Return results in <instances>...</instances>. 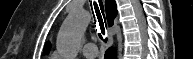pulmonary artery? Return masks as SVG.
Returning a JSON list of instances; mask_svg holds the SVG:
<instances>
[{"instance_id": "1", "label": "pulmonary artery", "mask_w": 193, "mask_h": 59, "mask_svg": "<svg viewBox=\"0 0 193 59\" xmlns=\"http://www.w3.org/2000/svg\"><path fill=\"white\" fill-rule=\"evenodd\" d=\"M83 54L86 58H94L98 54L97 46L95 43H87L83 49Z\"/></svg>"}]
</instances>
